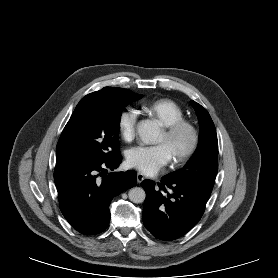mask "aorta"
I'll return each mask as SVG.
<instances>
[{
	"mask_svg": "<svg viewBox=\"0 0 278 278\" xmlns=\"http://www.w3.org/2000/svg\"><path fill=\"white\" fill-rule=\"evenodd\" d=\"M137 132L140 139L145 144H155L160 136V129L156 122L152 120L141 121L137 126ZM129 199L133 203H142L146 198V193L143 188L134 187L130 189Z\"/></svg>",
	"mask_w": 278,
	"mask_h": 278,
	"instance_id": "1",
	"label": "aorta"
}]
</instances>
